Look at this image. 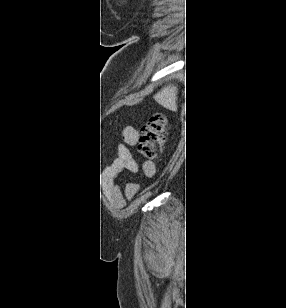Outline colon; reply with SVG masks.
I'll return each instance as SVG.
<instances>
[{"instance_id":"colon-1","label":"colon","mask_w":286,"mask_h":308,"mask_svg":"<svg viewBox=\"0 0 286 308\" xmlns=\"http://www.w3.org/2000/svg\"><path fill=\"white\" fill-rule=\"evenodd\" d=\"M167 138V119L161 113L154 114L141 131L138 150L148 159H153L160 152Z\"/></svg>"}]
</instances>
